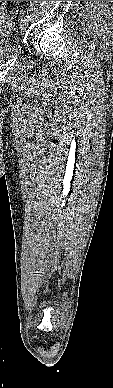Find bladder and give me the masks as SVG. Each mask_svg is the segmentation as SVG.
I'll use <instances>...</instances> for the list:
<instances>
[{
    "mask_svg": "<svg viewBox=\"0 0 113 388\" xmlns=\"http://www.w3.org/2000/svg\"><path fill=\"white\" fill-rule=\"evenodd\" d=\"M12 28V21L5 13L4 19L0 20V59L7 57L11 53L12 46L3 37L9 34Z\"/></svg>",
    "mask_w": 113,
    "mask_h": 388,
    "instance_id": "obj_1",
    "label": "bladder"
}]
</instances>
